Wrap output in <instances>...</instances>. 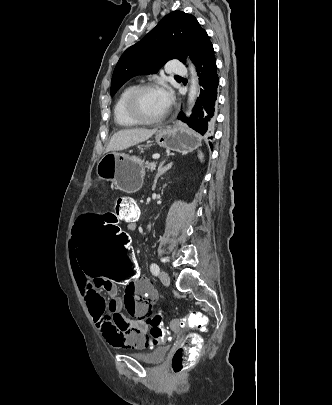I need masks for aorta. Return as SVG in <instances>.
Segmentation results:
<instances>
[{"mask_svg": "<svg viewBox=\"0 0 332 405\" xmlns=\"http://www.w3.org/2000/svg\"><path fill=\"white\" fill-rule=\"evenodd\" d=\"M189 69L191 72V85H190V90H189V97H188V104H189V109L190 111L193 108V105L195 103V99L198 96V76L197 72L195 70V67L192 63L189 64Z\"/></svg>", "mask_w": 332, "mask_h": 405, "instance_id": "1", "label": "aorta"}]
</instances>
